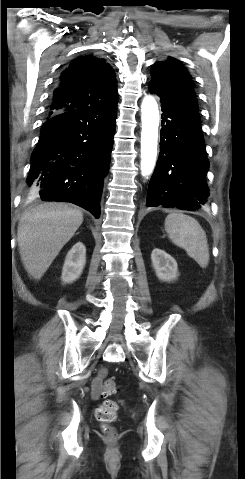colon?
I'll return each mask as SVG.
<instances>
[{
    "label": "colon",
    "mask_w": 245,
    "mask_h": 479,
    "mask_svg": "<svg viewBox=\"0 0 245 479\" xmlns=\"http://www.w3.org/2000/svg\"><path fill=\"white\" fill-rule=\"evenodd\" d=\"M119 387L113 379H106L103 385L105 395H112L118 391ZM118 411V403L113 400H105L96 410V418L106 427L113 422Z\"/></svg>",
    "instance_id": "colon-1"
}]
</instances>
